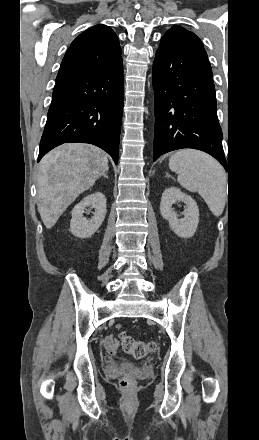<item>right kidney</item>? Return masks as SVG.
Masks as SVG:
<instances>
[{"label":"right kidney","instance_id":"1","mask_svg":"<svg viewBox=\"0 0 259 440\" xmlns=\"http://www.w3.org/2000/svg\"><path fill=\"white\" fill-rule=\"evenodd\" d=\"M87 207L95 208V213L91 220L83 217L84 210ZM106 211V198L103 193L96 192L86 196L72 210V219L70 221L71 233L79 238L91 237L102 225Z\"/></svg>","mask_w":259,"mask_h":440}]
</instances>
